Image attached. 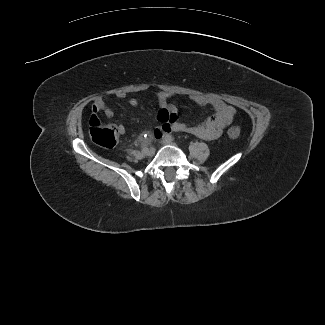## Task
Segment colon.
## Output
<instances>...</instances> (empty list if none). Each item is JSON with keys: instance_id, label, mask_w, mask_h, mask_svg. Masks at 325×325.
Instances as JSON below:
<instances>
[{"instance_id": "5ec220e1", "label": "colon", "mask_w": 325, "mask_h": 325, "mask_svg": "<svg viewBox=\"0 0 325 325\" xmlns=\"http://www.w3.org/2000/svg\"><path fill=\"white\" fill-rule=\"evenodd\" d=\"M89 135L94 143L105 148H112L118 140V132L111 126L101 123L96 114H92L89 120ZM228 135L231 138H237L240 135L238 127H230Z\"/></svg>"}]
</instances>
